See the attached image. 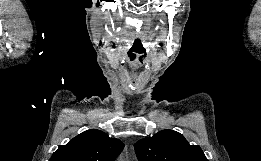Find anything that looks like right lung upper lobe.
<instances>
[{
	"label": "right lung upper lobe",
	"instance_id": "cb5924a9",
	"mask_svg": "<svg viewBox=\"0 0 261 161\" xmlns=\"http://www.w3.org/2000/svg\"><path fill=\"white\" fill-rule=\"evenodd\" d=\"M124 144L106 133L87 130L66 145L59 146L50 161H115Z\"/></svg>",
	"mask_w": 261,
	"mask_h": 161
}]
</instances>
